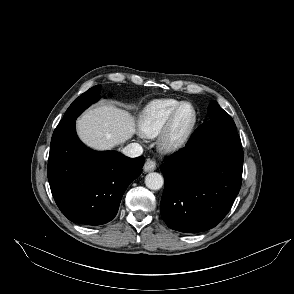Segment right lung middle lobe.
Masks as SVG:
<instances>
[{
    "label": "right lung middle lobe",
    "mask_w": 294,
    "mask_h": 294,
    "mask_svg": "<svg viewBox=\"0 0 294 294\" xmlns=\"http://www.w3.org/2000/svg\"><path fill=\"white\" fill-rule=\"evenodd\" d=\"M89 97L90 95L87 93V91L80 95L67 109L59 124L66 123L70 120H75L87 107L93 103L90 101Z\"/></svg>",
    "instance_id": "obj_1"
}]
</instances>
